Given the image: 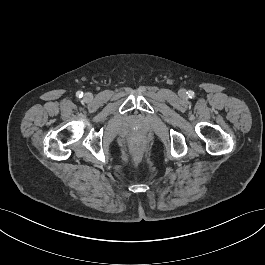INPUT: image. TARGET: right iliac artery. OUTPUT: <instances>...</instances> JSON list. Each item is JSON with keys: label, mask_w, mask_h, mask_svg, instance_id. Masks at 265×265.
Returning <instances> with one entry per match:
<instances>
[{"label": "right iliac artery", "mask_w": 265, "mask_h": 265, "mask_svg": "<svg viewBox=\"0 0 265 265\" xmlns=\"http://www.w3.org/2000/svg\"><path fill=\"white\" fill-rule=\"evenodd\" d=\"M76 96L79 97V98H81V97L83 96V92L78 91V92L76 93Z\"/></svg>", "instance_id": "obj_1"}]
</instances>
